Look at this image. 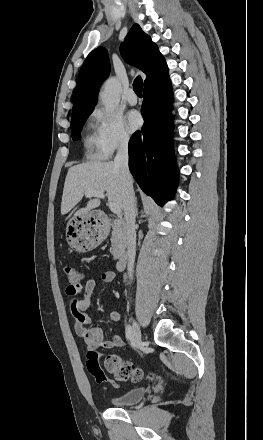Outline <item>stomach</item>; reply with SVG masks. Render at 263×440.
Wrapping results in <instances>:
<instances>
[{
    "label": "stomach",
    "instance_id": "stomach-1",
    "mask_svg": "<svg viewBox=\"0 0 263 440\" xmlns=\"http://www.w3.org/2000/svg\"><path fill=\"white\" fill-rule=\"evenodd\" d=\"M106 237L104 227L98 223L95 212L72 217L66 227L68 244L84 253L95 249Z\"/></svg>",
    "mask_w": 263,
    "mask_h": 440
}]
</instances>
